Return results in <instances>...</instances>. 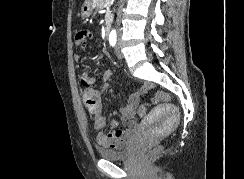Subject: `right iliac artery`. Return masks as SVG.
Wrapping results in <instances>:
<instances>
[{
    "instance_id": "1",
    "label": "right iliac artery",
    "mask_w": 244,
    "mask_h": 179,
    "mask_svg": "<svg viewBox=\"0 0 244 179\" xmlns=\"http://www.w3.org/2000/svg\"><path fill=\"white\" fill-rule=\"evenodd\" d=\"M116 41H117V35H116V33H110V35H109L110 45L111 46H115Z\"/></svg>"
}]
</instances>
